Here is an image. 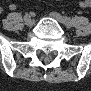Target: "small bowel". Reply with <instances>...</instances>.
<instances>
[{"label":"small bowel","mask_w":91,"mask_h":91,"mask_svg":"<svg viewBox=\"0 0 91 91\" xmlns=\"http://www.w3.org/2000/svg\"><path fill=\"white\" fill-rule=\"evenodd\" d=\"M90 5H91V3H90L89 0H84V1L81 2V7H82V8H88V7H90ZM11 8L14 9L15 6L12 5Z\"/></svg>","instance_id":"c3829d8e"}]
</instances>
